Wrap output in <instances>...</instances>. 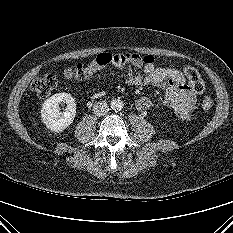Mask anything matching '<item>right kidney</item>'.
Here are the masks:
<instances>
[{
	"instance_id": "right-kidney-1",
	"label": "right kidney",
	"mask_w": 233,
	"mask_h": 233,
	"mask_svg": "<svg viewBox=\"0 0 233 233\" xmlns=\"http://www.w3.org/2000/svg\"><path fill=\"white\" fill-rule=\"evenodd\" d=\"M60 102L67 104L64 112H60ZM75 116V100L68 93L54 94L43 103L41 110L42 121L52 132H61L69 127Z\"/></svg>"
}]
</instances>
